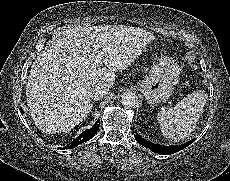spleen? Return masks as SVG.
Wrapping results in <instances>:
<instances>
[{
    "instance_id": "1",
    "label": "spleen",
    "mask_w": 230,
    "mask_h": 181,
    "mask_svg": "<svg viewBox=\"0 0 230 181\" xmlns=\"http://www.w3.org/2000/svg\"><path fill=\"white\" fill-rule=\"evenodd\" d=\"M204 105L203 93L194 91L179 101L175 107L161 109L157 113V120L163 136L173 140L189 137L203 112Z\"/></svg>"
}]
</instances>
